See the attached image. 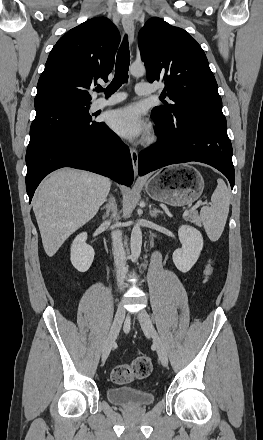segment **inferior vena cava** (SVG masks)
Listing matches in <instances>:
<instances>
[{
    "label": "inferior vena cava",
    "mask_w": 263,
    "mask_h": 440,
    "mask_svg": "<svg viewBox=\"0 0 263 440\" xmlns=\"http://www.w3.org/2000/svg\"><path fill=\"white\" fill-rule=\"evenodd\" d=\"M116 205H114L113 208V217L116 218ZM112 240H113V255H114V262L116 266V277H117V283L118 286L122 289L124 285V279H125V273H126V256L125 251L122 244V233L121 231H114L112 233Z\"/></svg>",
    "instance_id": "602c4592"
}]
</instances>
